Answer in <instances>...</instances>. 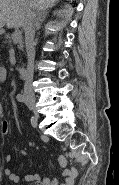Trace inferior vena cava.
<instances>
[{"label": "inferior vena cava", "instance_id": "obj_1", "mask_svg": "<svg viewBox=\"0 0 119 185\" xmlns=\"http://www.w3.org/2000/svg\"><path fill=\"white\" fill-rule=\"evenodd\" d=\"M25 9H24V21H23V30L25 33V44L28 58L27 73L25 76L24 83V97L34 99V91L32 86L33 80V70H34V59H35V49H34V36L35 28L34 22L36 14L32 9L31 4L28 0H23Z\"/></svg>", "mask_w": 119, "mask_h": 185}]
</instances>
